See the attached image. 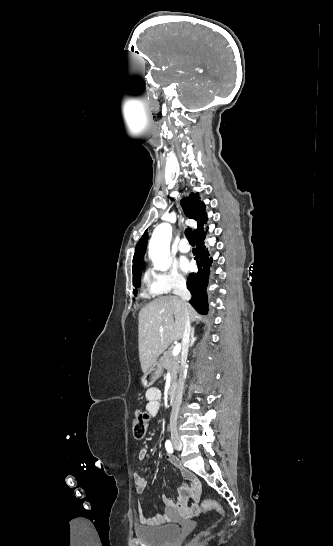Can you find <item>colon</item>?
<instances>
[{
  "label": "colon",
  "instance_id": "obj_1",
  "mask_svg": "<svg viewBox=\"0 0 333 546\" xmlns=\"http://www.w3.org/2000/svg\"><path fill=\"white\" fill-rule=\"evenodd\" d=\"M149 425V416L142 411H136L132 419V433L136 440H141L145 437L147 428ZM201 508L204 512L215 510L224 515L223 507L214 500H204L201 504ZM187 546V545H186Z\"/></svg>",
  "mask_w": 333,
  "mask_h": 546
}]
</instances>
